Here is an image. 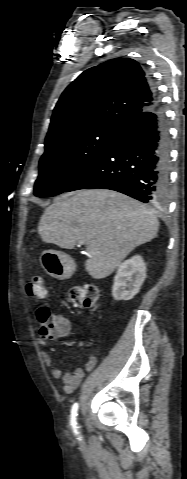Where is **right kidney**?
I'll return each instance as SVG.
<instances>
[{"label": "right kidney", "mask_w": 187, "mask_h": 479, "mask_svg": "<svg viewBox=\"0 0 187 479\" xmlns=\"http://www.w3.org/2000/svg\"><path fill=\"white\" fill-rule=\"evenodd\" d=\"M146 278V264L139 255L120 264L112 286V296L116 301L131 300L140 290Z\"/></svg>", "instance_id": "ca27d5eb"}]
</instances>
